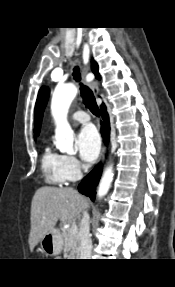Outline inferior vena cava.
Segmentation results:
<instances>
[{
  "instance_id": "602c4592",
  "label": "inferior vena cava",
  "mask_w": 175,
  "mask_h": 287,
  "mask_svg": "<svg viewBox=\"0 0 175 287\" xmlns=\"http://www.w3.org/2000/svg\"><path fill=\"white\" fill-rule=\"evenodd\" d=\"M79 239L80 259H90L92 241L90 238L89 214L87 211H83V217L80 224Z\"/></svg>"
}]
</instances>
